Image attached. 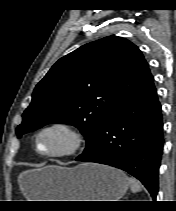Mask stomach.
<instances>
[{
	"mask_svg": "<svg viewBox=\"0 0 176 211\" xmlns=\"http://www.w3.org/2000/svg\"><path fill=\"white\" fill-rule=\"evenodd\" d=\"M19 182L29 201H118L129 187L124 172L94 163L46 166L23 173Z\"/></svg>",
	"mask_w": 176,
	"mask_h": 211,
	"instance_id": "stomach-1",
	"label": "stomach"
}]
</instances>
